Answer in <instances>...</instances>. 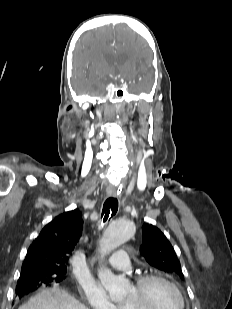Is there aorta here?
<instances>
[{
  "label": "aorta",
  "instance_id": "762f6f07",
  "mask_svg": "<svg viewBox=\"0 0 232 309\" xmlns=\"http://www.w3.org/2000/svg\"><path fill=\"white\" fill-rule=\"evenodd\" d=\"M134 225L126 219L114 220L105 230L100 240V253L105 256L128 241L134 234ZM99 279L108 291L112 301H121L129 290L127 279L115 276L110 270L101 268Z\"/></svg>",
  "mask_w": 232,
  "mask_h": 309
}]
</instances>
